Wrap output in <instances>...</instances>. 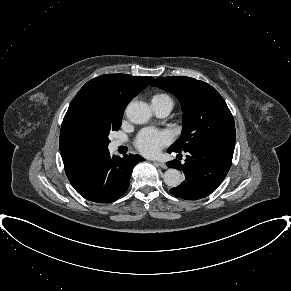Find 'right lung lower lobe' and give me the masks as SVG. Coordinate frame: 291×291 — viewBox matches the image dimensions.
Segmentation results:
<instances>
[{
    "label": "right lung lower lobe",
    "mask_w": 291,
    "mask_h": 291,
    "mask_svg": "<svg viewBox=\"0 0 291 291\" xmlns=\"http://www.w3.org/2000/svg\"><path fill=\"white\" fill-rule=\"evenodd\" d=\"M142 160L144 158L140 155L129 154L120 158L106 151L95 157L69 181L89 201L113 202L127 191L132 168Z\"/></svg>",
    "instance_id": "right-lung-lower-lobe-1"
}]
</instances>
